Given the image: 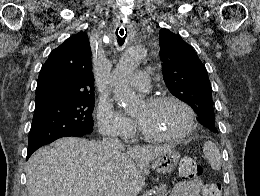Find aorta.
<instances>
[{
  "instance_id": "obj_1",
  "label": "aorta",
  "mask_w": 260,
  "mask_h": 196,
  "mask_svg": "<svg viewBox=\"0 0 260 196\" xmlns=\"http://www.w3.org/2000/svg\"><path fill=\"white\" fill-rule=\"evenodd\" d=\"M146 56L142 47H131L125 50L113 71L111 87L114 99L127 113H133L140 103L139 97L130 87V77Z\"/></svg>"
}]
</instances>
